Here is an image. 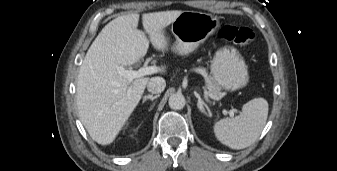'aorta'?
<instances>
[{
    "label": "aorta",
    "instance_id": "762f6f07",
    "mask_svg": "<svg viewBox=\"0 0 337 171\" xmlns=\"http://www.w3.org/2000/svg\"><path fill=\"white\" fill-rule=\"evenodd\" d=\"M169 106L174 110H181L186 104L185 97L181 93H174L169 97Z\"/></svg>",
    "mask_w": 337,
    "mask_h": 171
}]
</instances>
